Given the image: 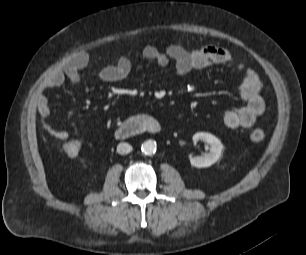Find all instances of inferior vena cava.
I'll use <instances>...</instances> for the list:
<instances>
[{"label":"inferior vena cava","mask_w":306,"mask_h":255,"mask_svg":"<svg viewBox=\"0 0 306 255\" xmlns=\"http://www.w3.org/2000/svg\"><path fill=\"white\" fill-rule=\"evenodd\" d=\"M132 151V146L128 143H119L117 146V152L121 155L128 154Z\"/></svg>","instance_id":"obj_1"}]
</instances>
